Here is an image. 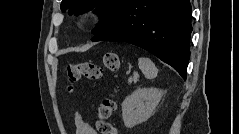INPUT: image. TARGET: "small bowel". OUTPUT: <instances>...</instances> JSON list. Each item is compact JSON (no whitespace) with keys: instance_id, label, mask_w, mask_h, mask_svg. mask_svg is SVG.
I'll return each mask as SVG.
<instances>
[{"instance_id":"obj_1","label":"small bowel","mask_w":239,"mask_h":134,"mask_svg":"<svg viewBox=\"0 0 239 134\" xmlns=\"http://www.w3.org/2000/svg\"><path fill=\"white\" fill-rule=\"evenodd\" d=\"M73 116L76 126V134H96L94 128L85 120V118L79 112L75 111Z\"/></svg>"}]
</instances>
